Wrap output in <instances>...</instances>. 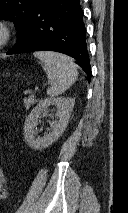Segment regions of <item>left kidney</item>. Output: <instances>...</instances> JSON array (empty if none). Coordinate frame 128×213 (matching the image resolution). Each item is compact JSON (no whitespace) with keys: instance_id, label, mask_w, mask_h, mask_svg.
Listing matches in <instances>:
<instances>
[{"instance_id":"5707ae66","label":"left kidney","mask_w":128,"mask_h":213,"mask_svg":"<svg viewBox=\"0 0 128 213\" xmlns=\"http://www.w3.org/2000/svg\"><path fill=\"white\" fill-rule=\"evenodd\" d=\"M74 102L75 100L73 98L68 97L46 98L41 100L25 120V142L34 150H42L58 140L67 127L70 115L73 111ZM49 106H56L59 120L51 123V132L36 138L34 130L38 124L39 116L43 111L47 110Z\"/></svg>"}]
</instances>
